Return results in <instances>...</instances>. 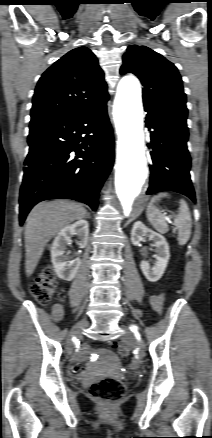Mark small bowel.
<instances>
[{"label": "small bowel", "instance_id": "small-bowel-1", "mask_svg": "<svg viewBox=\"0 0 212 438\" xmlns=\"http://www.w3.org/2000/svg\"><path fill=\"white\" fill-rule=\"evenodd\" d=\"M163 304H164V295L163 294L153 296L151 298V305L156 312H158V313L162 312ZM62 316H63V308L60 305H55L52 309L53 319L59 320V319H61Z\"/></svg>", "mask_w": 212, "mask_h": 438}]
</instances>
